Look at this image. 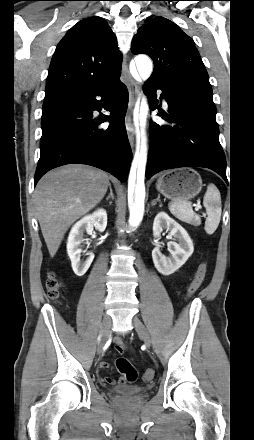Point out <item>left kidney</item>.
Segmentation results:
<instances>
[{
  "label": "left kidney",
  "instance_id": "5707ae66",
  "mask_svg": "<svg viewBox=\"0 0 254 440\" xmlns=\"http://www.w3.org/2000/svg\"><path fill=\"white\" fill-rule=\"evenodd\" d=\"M170 231V236L177 239V242L171 241L169 243L171 256H164L159 247L152 251V259L155 268L162 275L168 276L177 271L192 255L194 246L191 238L186 230L179 225L174 219L169 217L165 212H160L156 215L153 223V235L155 238L161 237L163 230Z\"/></svg>",
  "mask_w": 254,
  "mask_h": 440
}]
</instances>
